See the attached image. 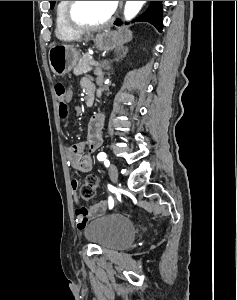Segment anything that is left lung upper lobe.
Returning a JSON list of instances; mask_svg holds the SVG:
<instances>
[{
  "mask_svg": "<svg viewBox=\"0 0 237 300\" xmlns=\"http://www.w3.org/2000/svg\"><path fill=\"white\" fill-rule=\"evenodd\" d=\"M56 1H50L51 8L54 7ZM136 21H147L153 24L160 32L163 28V18H162V1H151L148 9L138 18ZM133 20V21H135ZM117 25L121 24L120 20L116 21Z\"/></svg>",
  "mask_w": 237,
  "mask_h": 300,
  "instance_id": "1",
  "label": "left lung upper lobe"
}]
</instances>
